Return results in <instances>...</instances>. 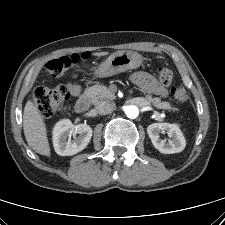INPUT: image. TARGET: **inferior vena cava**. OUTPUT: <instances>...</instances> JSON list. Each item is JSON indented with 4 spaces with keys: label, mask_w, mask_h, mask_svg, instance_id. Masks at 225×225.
I'll list each match as a JSON object with an SVG mask.
<instances>
[{
    "label": "inferior vena cava",
    "mask_w": 225,
    "mask_h": 225,
    "mask_svg": "<svg viewBox=\"0 0 225 225\" xmlns=\"http://www.w3.org/2000/svg\"><path fill=\"white\" fill-rule=\"evenodd\" d=\"M95 106H96V109L98 110V112L101 113V114L110 113L116 107L114 102H111V101H108V100L97 101Z\"/></svg>",
    "instance_id": "obj_1"
}]
</instances>
